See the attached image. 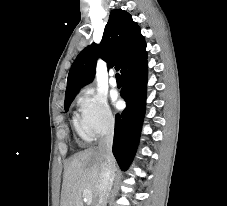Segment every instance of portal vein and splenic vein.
<instances>
[{
	"label": "portal vein and splenic vein",
	"instance_id": "1",
	"mask_svg": "<svg viewBox=\"0 0 227 206\" xmlns=\"http://www.w3.org/2000/svg\"><path fill=\"white\" fill-rule=\"evenodd\" d=\"M83 195L88 204L92 203V193L89 190H84Z\"/></svg>",
	"mask_w": 227,
	"mask_h": 206
}]
</instances>
